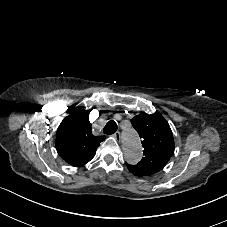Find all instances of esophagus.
Masks as SVG:
<instances>
[{
  "mask_svg": "<svg viewBox=\"0 0 227 227\" xmlns=\"http://www.w3.org/2000/svg\"><path fill=\"white\" fill-rule=\"evenodd\" d=\"M113 137L119 142L121 139L120 132L117 131L116 133H114Z\"/></svg>",
  "mask_w": 227,
  "mask_h": 227,
  "instance_id": "esophagus-1",
  "label": "esophagus"
}]
</instances>
